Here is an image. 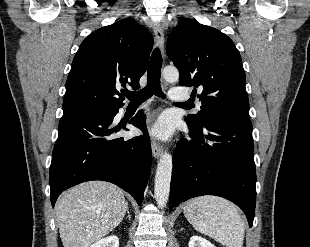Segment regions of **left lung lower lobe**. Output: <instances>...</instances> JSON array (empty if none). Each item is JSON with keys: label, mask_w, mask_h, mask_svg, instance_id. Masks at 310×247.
<instances>
[{"label": "left lung lower lobe", "mask_w": 310, "mask_h": 247, "mask_svg": "<svg viewBox=\"0 0 310 247\" xmlns=\"http://www.w3.org/2000/svg\"><path fill=\"white\" fill-rule=\"evenodd\" d=\"M187 124L192 141H182L174 152L169 208L193 197L217 195L237 204L251 227L256 203L251 122L219 118L200 129Z\"/></svg>", "instance_id": "1"}]
</instances>
